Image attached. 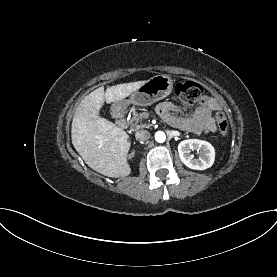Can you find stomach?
Returning a JSON list of instances; mask_svg holds the SVG:
<instances>
[{
    "label": "stomach",
    "instance_id": "obj_1",
    "mask_svg": "<svg viewBox=\"0 0 277 277\" xmlns=\"http://www.w3.org/2000/svg\"><path fill=\"white\" fill-rule=\"evenodd\" d=\"M173 88V80L168 75H156L147 80L139 89L134 91L128 100H119L114 108H124L129 104L147 106L168 96Z\"/></svg>",
    "mask_w": 277,
    "mask_h": 277
}]
</instances>
